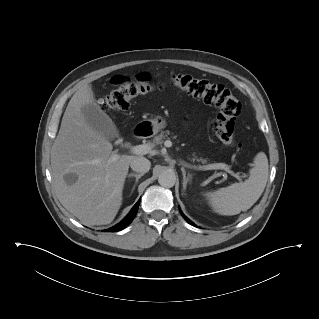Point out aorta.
<instances>
[{"instance_id": "762f6f07", "label": "aorta", "mask_w": 319, "mask_h": 319, "mask_svg": "<svg viewBox=\"0 0 319 319\" xmlns=\"http://www.w3.org/2000/svg\"><path fill=\"white\" fill-rule=\"evenodd\" d=\"M158 182L163 187L171 188L175 185L176 175L171 170H165L160 173L158 177Z\"/></svg>"}]
</instances>
